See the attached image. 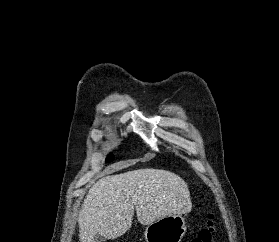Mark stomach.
Listing matches in <instances>:
<instances>
[{
	"instance_id": "stomach-1",
	"label": "stomach",
	"mask_w": 279,
	"mask_h": 242,
	"mask_svg": "<svg viewBox=\"0 0 279 242\" xmlns=\"http://www.w3.org/2000/svg\"><path fill=\"white\" fill-rule=\"evenodd\" d=\"M187 231L185 218L168 215L149 224L144 232L146 242H181Z\"/></svg>"
}]
</instances>
